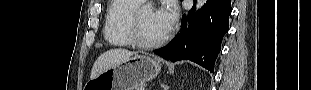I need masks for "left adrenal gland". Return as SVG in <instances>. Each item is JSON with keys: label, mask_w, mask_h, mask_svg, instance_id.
<instances>
[{"label": "left adrenal gland", "mask_w": 311, "mask_h": 90, "mask_svg": "<svg viewBox=\"0 0 311 90\" xmlns=\"http://www.w3.org/2000/svg\"><path fill=\"white\" fill-rule=\"evenodd\" d=\"M161 87L163 88V90H168L169 86L162 84Z\"/></svg>", "instance_id": "a2214340"}]
</instances>
